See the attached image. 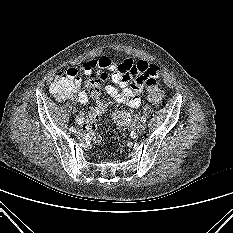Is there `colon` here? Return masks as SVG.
Listing matches in <instances>:
<instances>
[{
	"label": "colon",
	"instance_id": "colon-1",
	"mask_svg": "<svg viewBox=\"0 0 233 233\" xmlns=\"http://www.w3.org/2000/svg\"><path fill=\"white\" fill-rule=\"evenodd\" d=\"M100 79L95 73H92L86 81V88L90 96L97 100L96 104L91 108L85 122L84 130L90 134L94 140H98L94 132L101 116L107 110V104L99 100L101 89ZM50 92L58 100H65L73 92V80L66 72H60L56 76L54 82L50 87ZM147 97L149 101L158 106L163 97V91L158 81L155 78L147 80Z\"/></svg>",
	"mask_w": 233,
	"mask_h": 233
}]
</instances>
